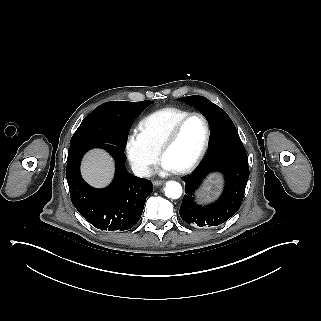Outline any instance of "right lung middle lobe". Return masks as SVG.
Here are the masks:
<instances>
[{"instance_id":"right-lung-middle-lobe-1","label":"right lung middle lobe","mask_w":321,"mask_h":321,"mask_svg":"<svg viewBox=\"0 0 321 321\" xmlns=\"http://www.w3.org/2000/svg\"><path fill=\"white\" fill-rule=\"evenodd\" d=\"M139 106L141 109H145L149 106L152 101L145 100L142 102H131ZM99 108L92 111L85 119L82 121L76 132L71 138L70 146L78 143H106L112 142L110 139V132L107 128L106 122L101 118L99 114Z\"/></svg>"}]
</instances>
